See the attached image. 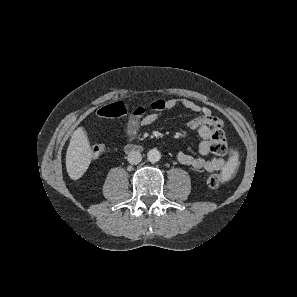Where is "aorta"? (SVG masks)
I'll list each match as a JSON object with an SVG mask.
<instances>
[{
    "label": "aorta",
    "instance_id": "aorta-1",
    "mask_svg": "<svg viewBox=\"0 0 297 297\" xmlns=\"http://www.w3.org/2000/svg\"><path fill=\"white\" fill-rule=\"evenodd\" d=\"M147 159L152 163L158 162L161 159V154L157 149H151L147 153Z\"/></svg>",
    "mask_w": 297,
    "mask_h": 297
}]
</instances>
